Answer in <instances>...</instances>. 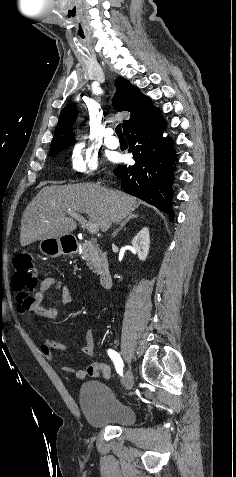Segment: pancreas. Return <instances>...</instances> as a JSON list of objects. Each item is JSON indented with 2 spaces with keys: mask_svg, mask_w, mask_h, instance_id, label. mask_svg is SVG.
I'll return each mask as SVG.
<instances>
[{
  "mask_svg": "<svg viewBox=\"0 0 236 477\" xmlns=\"http://www.w3.org/2000/svg\"><path fill=\"white\" fill-rule=\"evenodd\" d=\"M82 258L87 262L90 270L94 273L101 274L105 266L104 257L101 251L91 242L85 241L82 245Z\"/></svg>",
  "mask_w": 236,
  "mask_h": 477,
  "instance_id": "pancreas-1",
  "label": "pancreas"
}]
</instances>
